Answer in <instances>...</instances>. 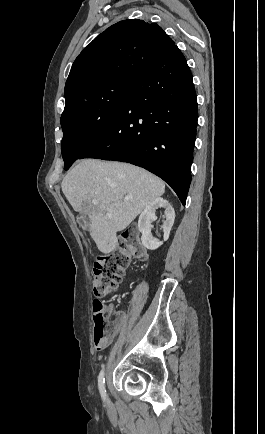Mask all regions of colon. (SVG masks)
<instances>
[{
	"mask_svg": "<svg viewBox=\"0 0 265 434\" xmlns=\"http://www.w3.org/2000/svg\"><path fill=\"white\" fill-rule=\"evenodd\" d=\"M121 248H124L121 246ZM128 264V257L123 251H116L109 256H102L93 263V324L95 331L93 340L95 347H106L109 335L107 333L108 320L106 314H102V301L105 296L116 291L123 278Z\"/></svg>",
	"mask_w": 265,
	"mask_h": 434,
	"instance_id": "colon-1",
	"label": "colon"
}]
</instances>
